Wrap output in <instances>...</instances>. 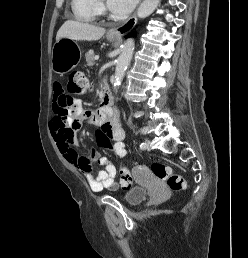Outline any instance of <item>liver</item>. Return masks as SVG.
I'll return each mask as SVG.
<instances>
[{
    "mask_svg": "<svg viewBox=\"0 0 248 258\" xmlns=\"http://www.w3.org/2000/svg\"><path fill=\"white\" fill-rule=\"evenodd\" d=\"M105 29L81 23L78 21L68 20L58 30L56 41L61 38H70L73 40L83 41H96L99 40L104 34Z\"/></svg>",
    "mask_w": 248,
    "mask_h": 258,
    "instance_id": "liver-1",
    "label": "liver"
}]
</instances>
